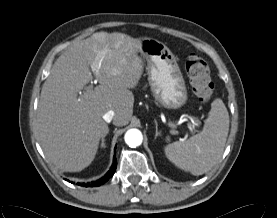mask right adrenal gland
<instances>
[{
    "label": "right adrenal gland",
    "instance_id": "right-adrenal-gland-1",
    "mask_svg": "<svg viewBox=\"0 0 277 218\" xmlns=\"http://www.w3.org/2000/svg\"><path fill=\"white\" fill-rule=\"evenodd\" d=\"M108 132H109V130H108ZM108 132H107V134H108ZM107 134L106 135H104V137L102 138V142H101V148H105L106 147V145H105V137L107 136Z\"/></svg>",
    "mask_w": 277,
    "mask_h": 218
}]
</instances>
